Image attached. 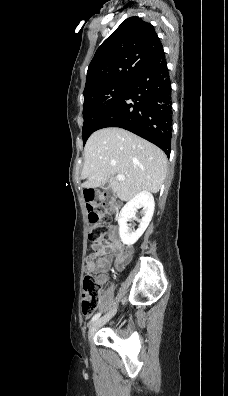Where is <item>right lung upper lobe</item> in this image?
Here are the masks:
<instances>
[{"label":"right lung upper lobe","instance_id":"right-lung-upper-lobe-1","mask_svg":"<svg viewBox=\"0 0 228 396\" xmlns=\"http://www.w3.org/2000/svg\"><path fill=\"white\" fill-rule=\"evenodd\" d=\"M162 48L150 23L136 16L126 19L96 51L84 93L111 83H131Z\"/></svg>","mask_w":228,"mask_h":396}]
</instances>
